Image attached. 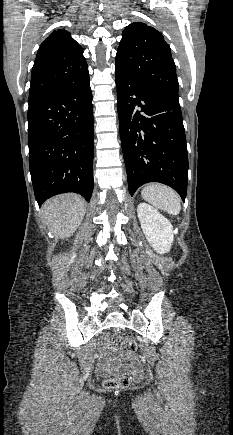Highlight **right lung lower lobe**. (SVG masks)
Listing matches in <instances>:
<instances>
[{"instance_id": "obj_1", "label": "right lung lower lobe", "mask_w": 233, "mask_h": 435, "mask_svg": "<svg viewBox=\"0 0 233 435\" xmlns=\"http://www.w3.org/2000/svg\"><path fill=\"white\" fill-rule=\"evenodd\" d=\"M28 146L36 200L93 191L94 129L89 73L29 105Z\"/></svg>"}]
</instances>
